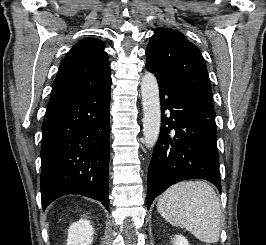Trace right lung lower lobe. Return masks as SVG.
<instances>
[{"mask_svg": "<svg viewBox=\"0 0 266 245\" xmlns=\"http://www.w3.org/2000/svg\"><path fill=\"white\" fill-rule=\"evenodd\" d=\"M110 86L84 88L47 110L41 143L43 210L68 194L109 209Z\"/></svg>", "mask_w": 266, "mask_h": 245, "instance_id": "98d812e1", "label": "right lung lower lobe"}]
</instances>
